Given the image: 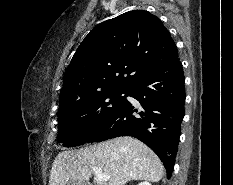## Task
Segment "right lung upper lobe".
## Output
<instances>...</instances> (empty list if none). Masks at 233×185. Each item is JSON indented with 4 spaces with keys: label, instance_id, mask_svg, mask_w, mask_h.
Masks as SVG:
<instances>
[{
    "label": "right lung upper lobe",
    "instance_id": "cb5924a9",
    "mask_svg": "<svg viewBox=\"0 0 233 185\" xmlns=\"http://www.w3.org/2000/svg\"><path fill=\"white\" fill-rule=\"evenodd\" d=\"M178 59L176 45L158 17L144 10L97 25L82 41L64 76L60 108L136 80Z\"/></svg>",
    "mask_w": 233,
    "mask_h": 185
}]
</instances>
